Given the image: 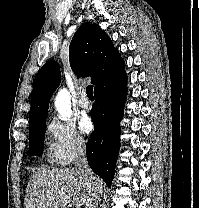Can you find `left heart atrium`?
<instances>
[{"mask_svg": "<svg viewBox=\"0 0 199 208\" xmlns=\"http://www.w3.org/2000/svg\"><path fill=\"white\" fill-rule=\"evenodd\" d=\"M94 124L91 118L84 114L79 118V129L84 134H90L93 131Z\"/></svg>", "mask_w": 199, "mask_h": 208, "instance_id": "obj_1", "label": "left heart atrium"}]
</instances>
